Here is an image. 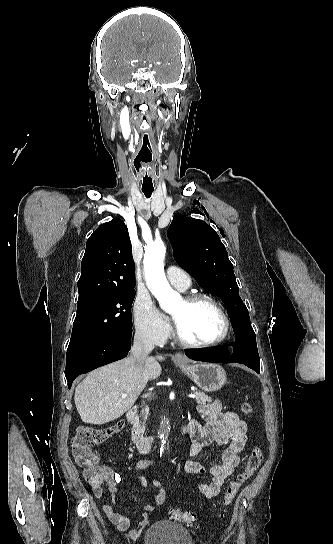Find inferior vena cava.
<instances>
[{
	"mask_svg": "<svg viewBox=\"0 0 333 544\" xmlns=\"http://www.w3.org/2000/svg\"><path fill=\"white\" fill-rule=\"evenodd\" d=\"M156 343V337L151 330L137 329L134 336V343L132 346V354L137 362V365L141 368L148 360L149 353L154 349Z\"/></svg>",
	"mask_w": 333,
	"mask_h": 544,
	"instance_id": "1",
	"label": "inferior vena cava"
}]
</instances>
